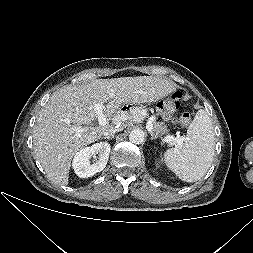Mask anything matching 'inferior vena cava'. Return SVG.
I'll return each instance as SVG.
<instances>
[{
	"instance_id": "inferior-vena-cava-1",
	"label": "inferior vena cava",
	"mask_w": 253,
	"mask_h": 253,
	"mask_svg": "<svg viewBox=\"0 0 253 253\" xmlns=\"http://www.w3.org/2000/svg\"><path fill=\"white\" fill-rule=\"evenodd\" d=\"M119 131H121V130L120 129H112L110 131L105 132L104 136L109 137V136L114 135L116 132H119Z\"/></svg>"
}]
</instances>
